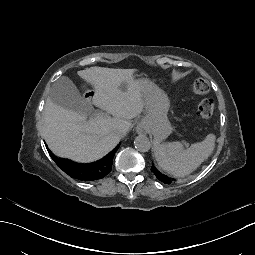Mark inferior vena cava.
<instances>
[{
	"label": "inferior vena cava",
	"mask_w": 255,
	"mask_h": 255,
	"mask_svg": "<svg viewBox=\"0 0 255 255\" xmlns=\"http://www.w3.org/2000/svg\"><path fill=\"white\" fill-rule=\"evenodd\" d=\"M130 128V123L127 121H123L116 126V131L118 132L120 137H123L127 134Z\"/></svg>",
	"instance_id": "1"
}]
</instances>
